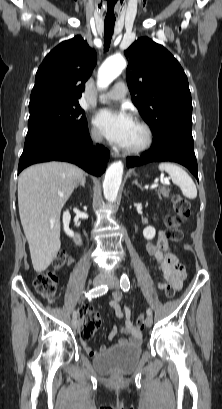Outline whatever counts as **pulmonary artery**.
<instances>
[{
    "label": "pulmonary artery",
    "mask_w": 222,
    "mask_h": 409,
    "mask_svg": "<svg viewBox=\"0 0 222 409\" xmlns=\"http://www.w3.org/2000/svg\"><path fill=\"white\" fill-rule=\"evenodd\" d=\"M127 94V87L124 82H117L113 88L106 93L105 98L112 101H120L125 98Z\"/></svg>",
    "instance_id": "obj_1"
}]
</instances>
